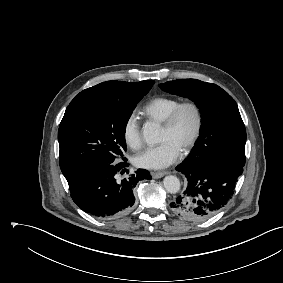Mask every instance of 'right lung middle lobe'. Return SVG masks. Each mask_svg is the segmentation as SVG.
<instances>
[{
  "label": "right lung middle lobe",
  "instance_id": "dd1d6c3e",
  "mask_svg": "<svg viewBox=\"0 0 283 283\" xmlns=\"http://www.w3.org/2000/svg\"><path fill=\"white\" fill-rule=\"evenodd\" d=\"M154 83L150 81L123 98L71 101L58 130L59 163L64 176L85 165L114 163L117 156L123 155L127 150V122Z\"/></svg>",
  "mask_w": 283,
  "mask_h": 283
}]
</instances>
